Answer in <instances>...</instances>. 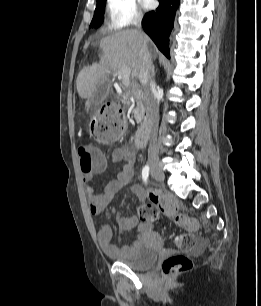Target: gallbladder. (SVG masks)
Returning <instances> with one entry per match:
<instances>
[{
    "label": "gallbladder",
    "mask_w": 261,
    "mask_h": 306,
    "mask_svg": "<svg viewBox=\"0 0 261 306\" xmlns=\"http://www.w3.org/2000/svg\"><path fill=\"white\" fill-rule=\"evenodd\" d=\"M108 95V83L101 82L93 95V103L98 105L100 104Z\"/></svg>",
    "instance_id": "1"
}]
</instances>
